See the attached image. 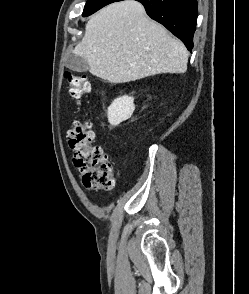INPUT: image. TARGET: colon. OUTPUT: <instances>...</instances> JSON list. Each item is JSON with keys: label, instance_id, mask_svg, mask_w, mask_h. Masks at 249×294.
<instances>
[{"label": "colon", "instance_id": "5ec220e1", "mask_svg": "<svg viewBox=\"0 0 249 294\" xmlns=\"http://www.w3.org/2000/svg\"><path fill=\"white\" fill-rule=\"evenodd\" d=\"M65 79L69 85L70 95L78 102L91 91V84L86 76L66 72ZM67 137L69 146L74 151V164L82 174L84 185L91 189H114V167L103 149L93 145L95 135L90 123L75 118Z\"/></svg>", "mask_w": 249, "mask_h": 294}]
</instances>
